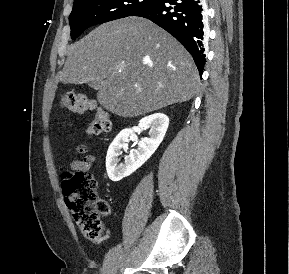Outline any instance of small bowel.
<instances>
[{"label": "small bowel", "mask_w": 289, "mask_h": 274, "mask_svg": "<svg viewBox=\"0 0 289 274\" xmlns=\"http://www.w3.org/2000/svg\"><path fill=\"white\" fill-rule=\"evenodd\" d=\"M88 146L81 144L76 147V151L79 154L88 153ZM98 160L94 155L86 154L82 159L73 160L69 164V169L72 172H85L88 171L93 165L97 164Z\"/></svg>", "instance_id": "obj_1"}]
</instances>
